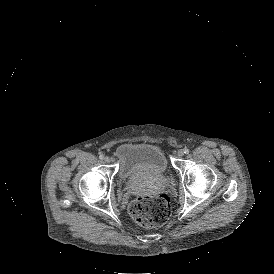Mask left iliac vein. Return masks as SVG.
Instances as JSON below:
<instances>
[{"label":"left iliac vein","instance_id":"left-iliac-vein-1","mask_svg":"<svg viewBox=\"0 0 274 274\" xmlns=\"http://www.w3.org/2000/svg\"><path fill=\"white\" fill-rule=\"evenodd\" d=\"M183 155H184V150H183V149H179V150L177 151V157H178V158H181Z\"/></svg>","mask_w":274,"mask_h":274}]
</instances>
